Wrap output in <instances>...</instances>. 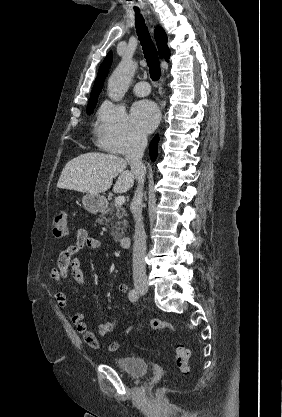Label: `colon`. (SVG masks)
Masks as SVG:
<instances>
[{
	"label": "colon",
	"mask_w": 282,
	"mask_h": 417,
	"mask_svg": "<svg viewBox=\"0 0 282 417\" xmlns=\"http://www.w3.org/2000/svg\"><path fill=\"white\" fill-rule=\"evenodd\" d=\"M69 229V220L66 213H59L53 223H52V231L55 237L61 238L67 235ZM149 328L152 331L157 330H164L169 329L174 331L175 327L172 323L159 319L154 318L149 321ZM190 356V351L185 347L183 343H178L176 346V356H175V364L181 370V372L186 373L189 370L187 365L188 359Z\"/></svg>",
	"instance_id": "5ec220e1"
}]
</instances>
